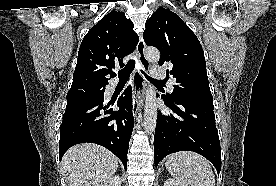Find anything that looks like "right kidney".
<instances>
[{
  "instance_id": "1",
  "label": "right kidney",
  "mask_w": 276,
  "mask_h": 186,
  "mask_svg": "<svg viewBox=\"0 0 276 186\" xmlns=\"http://www.w3.org/2000/svg\"><path fill=\"white\" fill-rule=\"evenodd\" d=\"M122 180L120 176L115 175L110 178L107 182H105L102 186H121Z\"/></svg>"
}]
</instances>
